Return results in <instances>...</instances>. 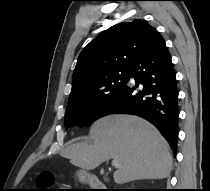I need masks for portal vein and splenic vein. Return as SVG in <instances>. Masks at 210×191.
I'll list each match as a JSON object with an SVG mask.
<instances>
[{"mask_svg": "<svg viewBox=\"0 0 210 191\" xmlns=\"http://www.w3.org/2000/svg\"><path fill=\"white\" fill-rule=\"evenodd\" d=\"M111 164H112V166L115 167V168H117V167L120 166L117 159H113Z\"/></svg>", "mask_w": 210, "mask_h": 191, "instance_id": "1", "label": "portal vein and splenic vein"}]
</instances>
